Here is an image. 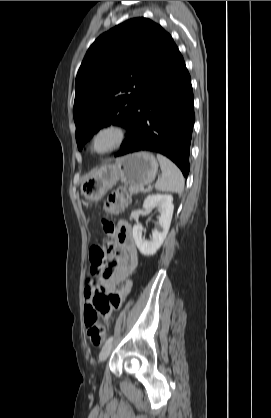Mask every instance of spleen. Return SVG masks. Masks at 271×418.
I'll list each match as a JSON object with an SVG mask.
<instances>
[{"instance_id":"obj_1","label":"spleen","mask_w":271,"mask_h":418,"mask_svg":"<svg viewBox=\"0 0 271 418\" xmlns=\"http://www.w3.org/2000/svg\"><path fill=\"white\" fill-rule=\"evenodd\" d=\"M162 176L155 184V188L162 192L181 194L184 190V177L180 169L168 158L157 154Z\"/></svg>"}]
</instances>
